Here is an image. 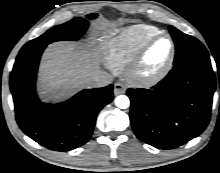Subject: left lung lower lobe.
Returning a JSON list of instances; mask_svg holds the SVG:
<instances>
[{
  "mask_svg": "<svg viewBox=\"0 0 220 173\" xmlns=\"http://www.w3.org/2000/svg\"><path fill=\"white\" fill-rule=\"evenodd\" d=\"M215 84L210 60H194L174 66L151 90L128 89L135 135L164 150L197 137L209 123Z\"/></svg>",
  "mask_w": 220,
  "mask_h": 173,
  "instance_id": "obj_1",
  "label": "left lung lower lobe"
}]
</instances>
